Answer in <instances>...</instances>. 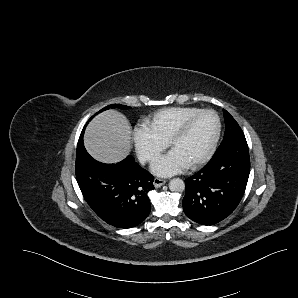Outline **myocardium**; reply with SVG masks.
I'll return each instance as SVG.
<instances>
[{"label":"myocardium","mask_w":298,"mask_h":298,"mask_svg":"<svg viewBox=\"0 0 298 298\" xmlns=\"http://www.w3.org/2000/svg\"><path fill=\"white\" fill-rule=\"evenodd\" d=\"M203 115L212 116L214 123H215V132H214L213 138L211 139L205 152L199 158H197L195 161H193L190 165H188V168H194V167L204 163L211 156L213 149H214V147L218 141L219 135H220V123H219L217 116L212 111H209V110L198 111L197 113H194L193 115L180 121L174 127V129L169 133V135L166 137L167 147H168V149H170L172 144L181 136V134L184 132V130L195 119H197L198 117L203 116Z\"/></svg>","instance_id":"obj_1"}]
</instances>
